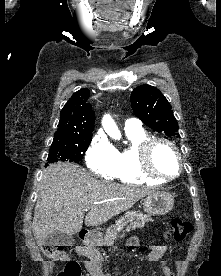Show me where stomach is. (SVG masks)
Instances as JSON below:
<instances>
[{"label":"stomach","mask_w":221,"mask_h":276,"mask_svg":"<svg viewBox=\"0 0 221 276\" xmlns=\"http://www.w3.org/2000/svg\"><path fill=\"white\" fill-rule=\"evenodd\" d=\"M174 197L163 191H155L147 195L144 199L143 208L148 215H165L173 207ZM101 235L94 234L91 237L90 243L97 244L100 241Z\"/></svg>","instance_id":"stomach-1"}]
</instances>
